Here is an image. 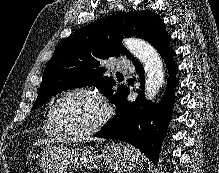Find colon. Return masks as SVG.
I'll list each match as a JSON object with an SVG mask.
<instances>
[{
	"label": "colon",
	"instance_id": "colon-1",
	"mask_svg": "<svg viewBox=\"0 0 219 173\" xmlns=\"http://www.w3.org/2000/svg\"><path fill=\"white\" fill-rule=\"evenodd\" d=\"M27 173H38V172L35 169H31Z\"/></svg>",
	"mask_w": 219,
	"mask_h": 173
}]
</instances>
